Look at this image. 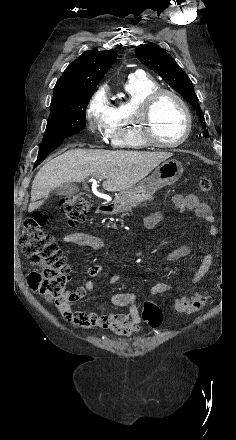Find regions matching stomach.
Masks as SVG:
<instances>
[{"mask_svg": "<svg viewBox=\"0 0 236 440\" xmlns=\"http://www.w3.org/2000/svg\"><path fill=\"white\" fill-rule=\"evenodd\" d=\"M182 164L175 159L163 161L150 175L133 187L115 194L114 212H124L149 199L159 188L174 184L183 174Z\"/></svg>", "mask_w": 236, "mask_h": 440, "instance_id": "obj_1", "label": "stomach"}]
</instances>
